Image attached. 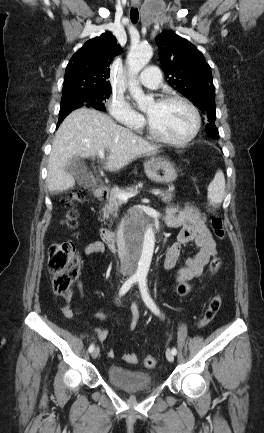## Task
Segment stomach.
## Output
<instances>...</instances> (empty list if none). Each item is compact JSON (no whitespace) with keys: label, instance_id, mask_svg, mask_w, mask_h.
<instances>
[{"label":"stomach","instance_id":"0dacf381","mask_svg":"<svg viewBox=\"0 0 264 433\" xmlns=\"http://www.w3.org/2000/svg\"><path fill=\"white\" fill-rule=\"evenodd\" d=\"M143 166L146 176L157 183L169 184L178 176L175 165L163 158L151 157L144 161Z\"/></svg>","mask_w":264,"mask_h":433}]
</instances>
